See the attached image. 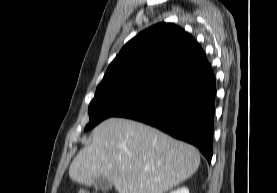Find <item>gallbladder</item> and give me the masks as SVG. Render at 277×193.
Listing matches in <instances>:
<instances>
[{
  "label": "gallbladder",
  "instance_id": "gallbladder-1",
  "mask_svg": "<svg viewBox=\"0 0 277 193\" xmlns=\"http://www.w3.org/2000/svg\"><path fill=\"white\" fill-rule=\"evenodd\" d=\"M93 186L95 187L96 190H101L104 193L112 189V183L109 182L105 177L99 176L95 178L93 182Z\"/></svg>",
  "mask_w": 277,
  "mask_h": 193
}]
</instances>
